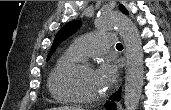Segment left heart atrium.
I'll return each instance as SVG.
<instances>
[{
	"label": "left heart atrium",
	"mask_w": 171,
	"mask_h": 110,
	"mask_svg": "<svg viewBox=\"0 0 171 110\" xmlns=\"http://www.w3.org/2000/svg\"><path fill=\"white\" fill-rule=\"evenodd\" d=\"M95 75L102 85L107 90L117 80L118 68L117 65L111 61L103 62L96 70Z\"/></svg>",
	"instance_id": "1"
}]
</instances>
